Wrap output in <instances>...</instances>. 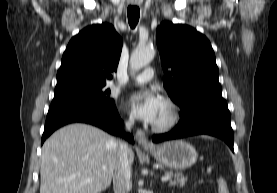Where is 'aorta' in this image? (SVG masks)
Returning <instances> with one entry per match:
<instances>
[{
    "label": "aorta",
    "instance_id": "aorta-1",
    "mask_svg": "<svg viewBox=\"0 0 277 193\" xmlns=\"http://www.w3.org/2000/svg\"><path fill=\"white\" fill-rule=\"evenodd\" d=\"M155 56L153 47H138L130 57V69L138 71L148 65Z\"/></svg>",
    "mask_w": 277,
    "mask_h": 193
}]
</instances>
